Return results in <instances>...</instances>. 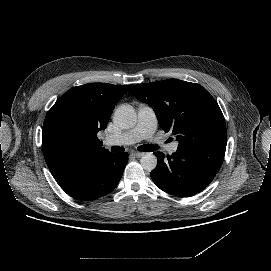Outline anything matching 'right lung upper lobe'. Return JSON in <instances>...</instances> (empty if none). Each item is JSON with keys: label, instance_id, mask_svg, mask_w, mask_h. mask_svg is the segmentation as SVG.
I'll use <instances>...</instances> for the list:
<instances>
[{"label": "right lung upper lobe", "instance_id": "cb5924a9", "mask_svg": "<svg viewBox=\"0 0 271 271\" xmlns=\"http://www.w3.org/2000/svg\"><path fill=\"white\" fill-rule=\"evenodd\" d=\"M130 87L88 83L56 101L42 130V150L51 173L84 155L110 153L97 133L106 128L115 104Z\"/></svg>", "mask_w": 271, "mask_h": 271}]
</instances>
